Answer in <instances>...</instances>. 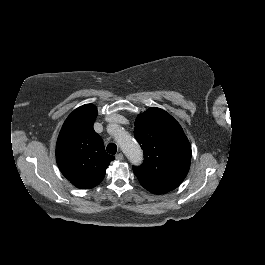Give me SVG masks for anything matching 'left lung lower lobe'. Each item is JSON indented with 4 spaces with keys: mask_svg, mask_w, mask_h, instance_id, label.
I'll list each match as a JSON object with an SVG mask.
<instances>
[{
    "mask_svg": "<svg viewBox=\"0 0 265 265\" xmlns=\"http://www.w3.org/2000/svg\"><path fill=\"white\" fill-rule=\"evenodd\" d=\"M148 191H150L152 193H155V194H163V193H165V192L158 191V190H148Z\"/></svg>",
    "mask_w": 265,
    "mask_h": 265,
    "instance_id": "1",
    "label": "left lung lower lobe"
}]
</instances>
